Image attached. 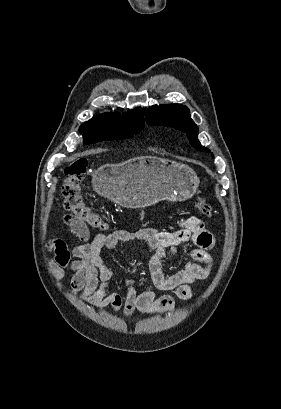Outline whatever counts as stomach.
Returning <instances> with one entry per match:
<instances>
[{
  "instance_id": "obj_1",
  "label": "stomach",
  "mask_w": 281,
  "mask_h": 409,
  "mask_svg": "<svg viewBox=\"0 0 281 409\" xmlns=\"http://www.w3.org/2000/svg\"><path fill=\"white\" fill-rule=\"evenodd\" d=\"M92 186L120 207L144 209L159 200L191 198L197 192L199 178L183 162L159 156H135L94 170Z\"/></svg>"
}]
</instances>
